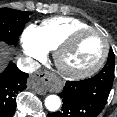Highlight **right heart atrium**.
Masks as SVG:
<instances>
[{
	"label": "right heart atrium",
	"mask_w": 117,
	"mask_h": 117,
	"mask_svg": "<svg viewBox=\"0 0 117 117\" xmlns=\"http://www.w3.org/2000/svg\"><path fill=\"white\" fill-rule=\"evenodd\" d=\"M21 43L24 54L32 61L42 60L47 50L40 42L38 29L34 25L25 28L21 36Z\"/></svg>",
	"instance_id": "right-heart-atrium-1"
}]
</instances>
